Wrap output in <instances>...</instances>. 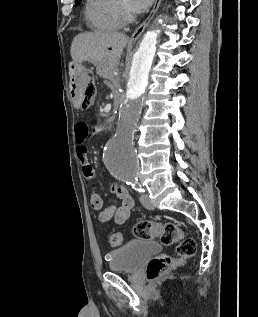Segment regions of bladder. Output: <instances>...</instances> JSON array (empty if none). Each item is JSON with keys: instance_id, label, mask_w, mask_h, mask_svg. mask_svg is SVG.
<instances>
[{"instance_id": "1", "label": "bladder", "mask_w": 258, "mask_h": 317, "mask_svg": "<svg viewBox=\"0 0 258 317\" xmlns=\"http://www.w3.org/2000/svg\"><path fill=\"white\" fill-rule=\"evenodd\" d=\"M162 250L159 243L135 239L108 254V264L112 271H135L145 261L157 256Z\"/></svg>"}]
</instances>
